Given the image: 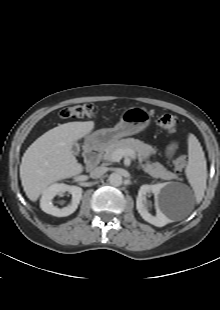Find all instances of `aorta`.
<instances>
[{
	"label": "aorta",
	"mask_w": 220,
	"mask_h": 310,
	"mask_svg": "<svg viewBox=\"0 0 220 310\" xmlns=\"http://www.w3.org/2000/svg\"><path fill=\"white\" fill-rule=\"evenodd\" d=\"M109 182L112 186L118 187L122 184L123 179L122 176L118 173H112L109 176Z\"/></svg>",
	"instance_id": "aorta-1"
}]
</instances>
